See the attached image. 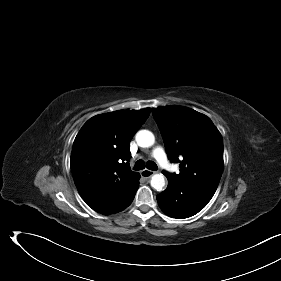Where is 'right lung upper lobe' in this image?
Masks as SVG:
<instances>
[{
    "instance_id": "1",
    "label": "right lung upper lobe",
    "mask_w": 281,
    "mask_h": 281,
    "mask_svg": "<svg viewBox=\"0 0 281 281\" xmlns=\"http://www.w3.org/2000/svg\"><path fill=\"white\" fill-rule=\"evenodd\" d=\"M150 109L96 115L77 134L70 158L75 185L86 204L109 215L125 209L139 186L130 169V141Z\"/></svg>"
}]
</instances>
